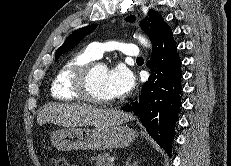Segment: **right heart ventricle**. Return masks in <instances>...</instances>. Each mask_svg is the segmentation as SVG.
<instances>
[{
    "mask_svg": "<svg viewBox=\"0 0 231 166\" xmlns=\"http://www.w3.org/2000/svg\"><path fill=\"white\" fill-rule=\"evenodd\" d=\"M97 58L89 48L71 55L57 71L51 85V95L59 101H72L82 99L73 88L75 73L83 65L95 61Z\"/></svg>",
    "mask_w": 231,
    "mask_h": 166,
    "instance_id": "1",
    "label": "right heart ventricle"
}]
</instances>
